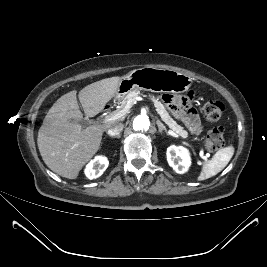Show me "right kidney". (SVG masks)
<instances>
[{"label": "right kidney", "instance_id": "ca27d5eb", "mask_svg": "<svg viewBox=\"0 0 267 267\" xmlns=\"http://www.w3.org/2000/svg\"><path fill=\"white\" fill-rule=\"evenodd\" d=\"M108 164L109 162L106 157L97 156L86 166L85 175L89 179H96L103 174Z\"/></svg>", "mask_w": 267, "mask_h": 267}]
</instances>
